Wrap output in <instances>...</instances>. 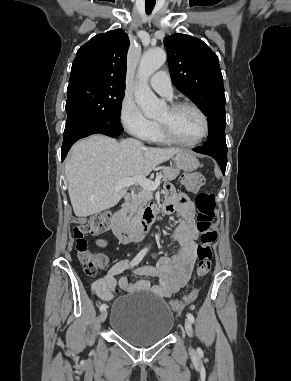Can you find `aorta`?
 Listing matches in <instances>:
<instances>
[{
    "instance_id": "obj_1",
    "label": "aorta",
    "mask_w": 291,
    "mask_h": 381,
    "mask_svg": "<svg viewBox=\"0 0 291 381\" xmlns=\"http://www.w3.org/2000/svg\"><path fill=\"white\" fill-rule=\"evenodd\" d=\"M166 60V53L162 48L146 51L141 58L137 77L139 85L135 90V100L148 118H154L164 107V102L159 100L148 85L149 77L157 71Z\"/></svg>"
}]
</instances>
